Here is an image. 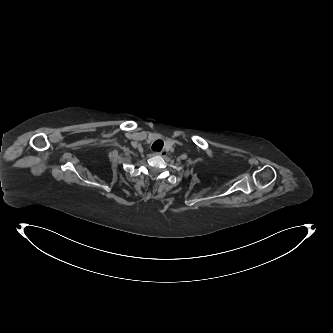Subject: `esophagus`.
I'll use <instances>...</instances> for the list:
<instances>
[{
	"instance_id": "obj_1",
	"label": "esophagus",
	"mask_w": 333,
	"mask_h": 333,
	"mask_svg": "<svg viewBox=\"0 0 333 333\" xmlns=\"http://www.w3.org/2000/svg\"><path fill=\"white\" fill-rule=\"evenodd\" d=\"M156 155L164 156L166 154L165 150L155 152Z\"/></svg>"
}]
</instances>
